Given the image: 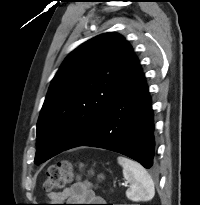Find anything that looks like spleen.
I'll use <instances>...</instances> for the list:
<instances>
[{
	"label": "spleen",
	"instance_id": "spleen-1",
	"mask_svg": "<svg viewBox=\"0 0 200 205\" xmlns=\"http://www.w3.org/2000/svg\"><path fill=\"white\" fill-rule=\"evenodd\" d=\"M118 163L123 168V176L130 183L126 196L135 202L149 201L154 197V182L145 168L129 158L119 156Z\"/></svg>",
	"mask_w": 200,
	"mask_h": 205
}]
</instances>
